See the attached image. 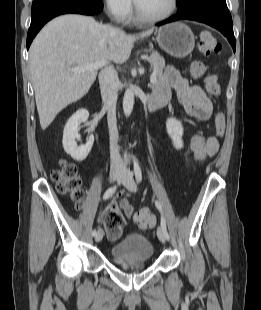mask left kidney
Instances as JSON below:
<instances>
[{
    "instance_id": "left-kidney-1",
    "label": "left kidney",
    "mask_w": 261,
    "mask_h": 310,
    "mask_svg": "<svg viewBox=\"0 0 261 310\" xmlns=\"http://www.w3.org/2000/svg\"><path fill=\"white\" fill-rule=\"evenodd\" d=\"M166 130L172 139L173 146L179 150L183 147V126L180 121L175 118H169L166 121Z\"/></svg>"
}]
</instances>
